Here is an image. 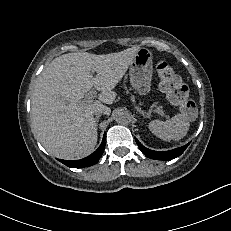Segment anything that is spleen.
I'll return each mask as SVG.
<instances>
[{
	"label": "spleen",
	"instance_id": "3e777b00",
	"mask_svg": "<svg viewBox=\"0 0 231 231\" xmlns=\"http://www.w3.org/2000/svg\"><path fill=\"white\" fill-rule=\"evenodd\" d=\"M190 122L185 114H177L169 120H154L148 124L149 130L164 141H179L188 132Z\"/></svg>",
	"mask_w": 231,
	"mask_h": 231
}]
</instances>
